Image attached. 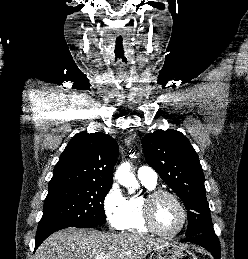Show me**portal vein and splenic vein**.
<instances>
[{"instance_id": "obj_1", "label": "portal vein and splenic vein", "mask_w": 248, "mask_h": 259, "mask_svg": "<svg viewBox=\"0 0 248 259\" xmlns=\"http://www.w3.org/2000/svg\"><path fill=\"white\" fill-rule=\"evenodd\" d=\"M95 259H104L103 257H101V256H98V257H96Z\"/></svg>"}]
</instances>
